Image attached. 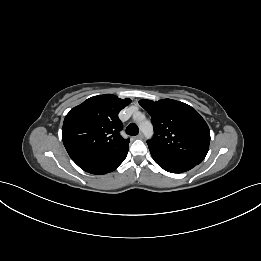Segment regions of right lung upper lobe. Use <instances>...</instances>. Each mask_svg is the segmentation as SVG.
I'll return each instance as SVG.
<instances>
[{
	"mask_svg": "<svg viewBox=\"0 0 261 261\" xmlns=\"http://www.w3.org/2000/svg\"><path fill=\"white\" fill-rule=\"evenodd\" d=\"M131 102L113 94L91 97L66 115L62 140L72 160L90 155H116L129 148L122 138L118 113Z\"/></svg>",
	"mask_w": 261,
	"mask_h": 261,
	"instance_id": "1",
	"label": "right lung upper lobe"
}]
</instances>
